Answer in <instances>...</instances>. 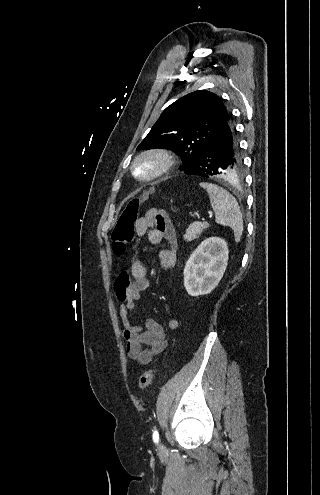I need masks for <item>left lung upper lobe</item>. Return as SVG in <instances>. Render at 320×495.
<instances>
[{"label":"left lung upper lobe","mask_w":320,"mask_h":495,"mask_svg":"<svg viewBox=\"0 0 320 495\" xmlns=\"http://www.w3.org/2000/svg\"><path fill=\"white\" fill-rule=\"evenodd\" d=\"M229 118L216 94L195 91L168 106L137 149H172L182 159L180 169L186 170ZM241 167L242 162L238 170ZM226 172L220 177L228 178Z\"/></svg>","instance_id":"5c2ea615"}]
</instances>
